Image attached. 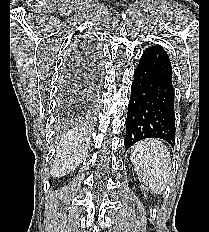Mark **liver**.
<instances>
[{
    "mask_svg": "<svg viewBox=\"0 0 209 232\" xmlns=\"http://www.w3.org/2000/svg\"><path fill=\"white\" fill-rule=\"evenodd\" d=\"M88 140L78 133H71L61 138L53 160L51 175L62 177L74 171L85 158Z\"/></svg>",
    "mask_w": 209,
    "mask_h": 232,
    "instance_id": "obj_1",
    "label": "liver"
}]
</instances>
